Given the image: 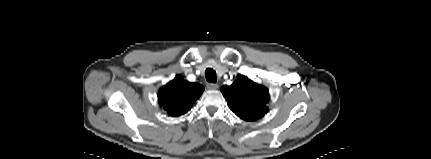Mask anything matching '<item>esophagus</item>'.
<instances>
[{"instance_id": "obj_1", "label": "esophagus", "mask_w": 431, "mask_h": 159, "mask_svg": "<svg viewBox=\"0 0 431 159\" xmlns=\"http://www.w3.org/2000/svg\"><path fill=\"white\" fill-rule=\"evenodd\" d=\"M207 88L215 90L219 88V85L217 83H207Z\"/></svg>"}]
</instances>
